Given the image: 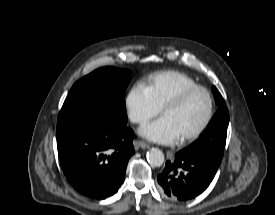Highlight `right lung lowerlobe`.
Here are the masks:
<instances>
[{
  "mask_svg": "<svg viewBox=\"0 0 275 215\" xmlns=\"http://www.w3.org/2000/svg\"><path fill=\"white\" fill-rule=\"evenodd\" d=\"M57 147L68 182L94 199L114 195L124 182L134 132L112 120L57 127Z\"/></svg>",
  "mask_w": 275,
  "mask_h": 215,
  "instance_id": "right-lung-lower-lobe-1",
  "label": "right lung lower lobe"
}]
</instances>
